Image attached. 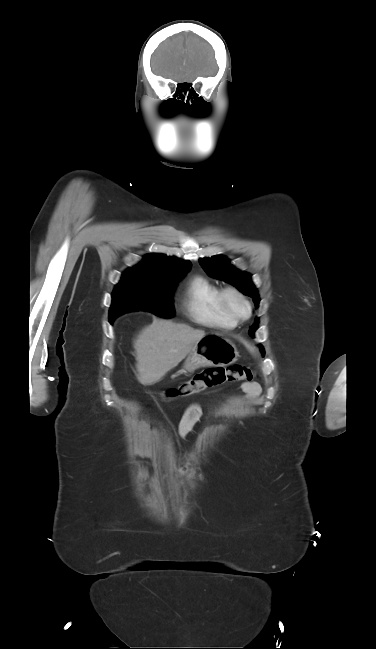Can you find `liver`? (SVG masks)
Listing matches in <instances>:
<instances>
[{
    "instance_id": "6515ba94",
    "label": "liver",
    "mask_w": 376,
    "mask_h": 649,
    "mask_svg": "<svg viewBox=\"0 0 376 649\" xmlns=\"http://www.w3.org/2000/svg\"><path fill=\"white\" fill-rule=\"evenodd\" d=\"M204 335L203 330L185 324L154 320L134 340L139 383L153 385L159 382L190 353L195 342Z\"/></svg>"
}]
</instances>
